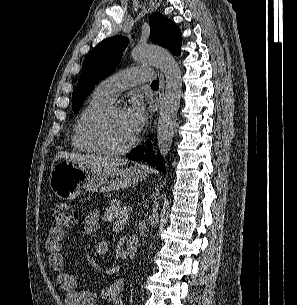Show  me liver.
Masks as SVG:
<instances>
[{
    "instance_id": "liver-1",
    "label": "liver",
    "mask_w": 297,
    "mask_h": 305,
    "mask_svg": "<svg viewBox=\"0 0 297 305\" xmlns=\"http://www.w3.org/2000/svg\"><path fill=\"white\" fill-rule=\"evenodd\" d=\"M59 159H65L67 161H71L79 165H88L93 167H104V168H117L118 166L127 163L126 159L105 158L100 156L80 155V154H72L67 152L58 153L54 158V162L58 161Z\"/></svg>"
}]
</instances>
